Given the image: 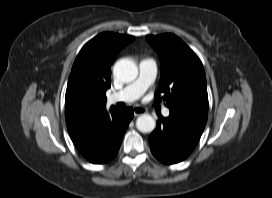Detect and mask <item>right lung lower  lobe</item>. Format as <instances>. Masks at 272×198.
I'll list each match as a JSON object with an SVG mask.
<instances>
[{"mask_svg":"<svg viewBox=\"0 0 272 198\" xmlns=\"http://www.w3.org/2000/svg\"><path fill=\"white\" fill-rule=\"evenodd\" d=\"M133 109L104 110L73 132L70 137L78 151L91 163L103 164L112 160L119 150L124 133L133 117Z\"/></svg>","mask_w":272,"mask_h":198,"instance_id":"obj_1","label":"right lung lower lobe"}]
</instances>
